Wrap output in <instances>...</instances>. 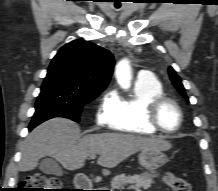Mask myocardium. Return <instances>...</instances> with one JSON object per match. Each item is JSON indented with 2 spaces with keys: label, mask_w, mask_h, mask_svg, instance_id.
<instances>
[{
  "label": "myocardium",
  "mask_w": 218,
  "mask_h": 191,
  "mask_svg": "<svg viewBox=\"0 0 218 191\" xmlns=\"http://www.w3.org/2000/svg\"><path fill=\"white\" fill-rule=\"evenodd\" d=\"M166 103L172 104L179 113V124L174 130H167L163 128L160 125L159 120H158L159 110ZM146 121L153 129H155L158 132H161L163 134H168V135L175 134L180 131L184 123L183 109L180 106V104L174 99L166 97L164 95L159 96V97L152 99L148 103L147 108H146Z\"/></svg>",
  "instance_id": "myocardium-1"
}]
</instances>
